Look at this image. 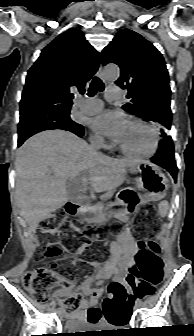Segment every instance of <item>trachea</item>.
I'll use <instances>...</instances> for the list:
<instances>
[{
	"label": "trachea",
	"instance_id": "3493384b",
	"mask_svg": "<svg viewBox=\"0 0 194 336\" xmlns=\"http://www.w3.org/2000/svg\"><path fill=\"white\" fill-rule=\"evenodd\" d=\"M104 90V83L97 77H94L89 90L88 96L93 97L98 91L102 92Z\"/></svg>",
	"mask_w": 194,
	"mask_h": 336
}]
</instances>
